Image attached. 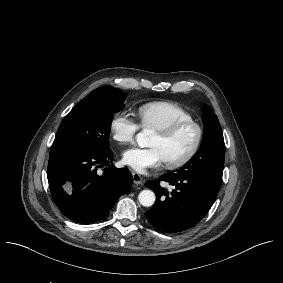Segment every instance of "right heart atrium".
<instances>
[{"label": "right heart atrium", "instance_id": "d8ad5b80", "mask_svg": "<svg viewBox=\"0 0 283 283\" xmlns=\"http://www.w3.org/2000/svg\"><path fill=\"white\" fill-rule=\"evenodd\" d=\"M108 128L113 142L126 145L133 142L140 125L124 112H115L109 121Z\"/></svg>", "mask_w": 283, "mask_h": 283}]
</instances>
